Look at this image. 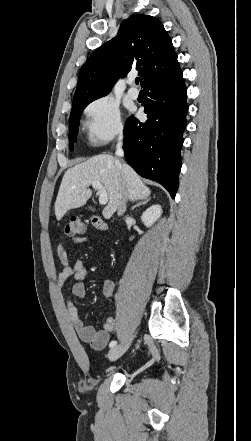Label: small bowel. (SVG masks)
I'll use <instances>...</instances> for the list:
<instances>
[{
	"instance_id": "c3829d8e",
	"label": "small bowel",
	"mask_w": 251,
	"mask_h": 441,
	"mask_svg": "<svg viewBox=\"0 0 251 441\" xmlns=\"http://www.w3.org/2000/svg\"><path fill=\"white\" fill-rule=\"evenodd\" d=\"M74 242L77 244L87 242L84 237H76ZM59 261L62 270L57 275V286L63 291L68 284L73 281L71 292L75 297L84 298L86 296V287L83 282L89 273V267L83 260H77L74 264L70 263L68 252L65 247L60 245L57 248ZM115 284L107 280L103 283L102 293L105 298L113 295ZM68 317L76 330L78 337L85 343H88L95 350H102L109 342L111 334L117 329V322L113 317L106 318L103 328L96 330L93 326L87 325L81 319L78 309L72 300L66 301Z\"/></svg>"
}]
</instances>
